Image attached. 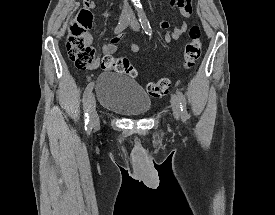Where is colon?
<instances>
[{"label": "colon", "instance_id": "5ec220e1", "mask_svg": "<svg viewBox=\"0 0 275 215\" xmlns=\"http://www.w3.org/2000/svg\"><path fill=\"white\" fill-rule=\"evenodd\" d=\"M91 0H82V6L77 10L71 20L65 41V47L70 59L78 67H87L94 61V49L89 42L88 29L93 23V16L90 11ZM201 54V30L197 25H193L189 30V38L184 47V67L192 69ZM104 70H115L126 76L133 77L136 70L131 61L126 57H114L111 54L104 55L100 61ZM170 81L161 78L151 81L147 85L149 95L161 97L168 93Z\"/></svg>", "mask_w": 275, "mask_h": 215}]
</instances>
